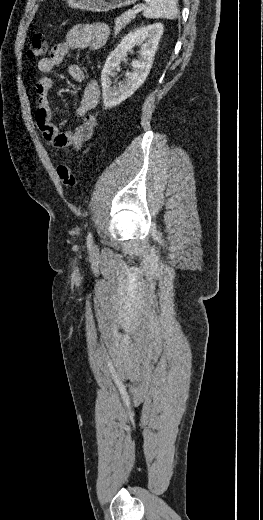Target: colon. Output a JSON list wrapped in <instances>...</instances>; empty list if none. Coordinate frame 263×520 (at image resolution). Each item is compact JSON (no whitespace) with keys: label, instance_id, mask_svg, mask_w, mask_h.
<instances>
[{"label":"colon","instance_id":"colon-1","mask_svg":"<svg viewBox=\"0 0 263 520\" xmlns=\"http://www.w3.org/2000/svg\"><path fill=\"white\" fill-rule=\"evenodd\" d=\"M47 51V39L45 34L37 33L35 34L29 45L28 49V57L29 58H40ZM57 175L60 181L65 185L72 187L76 184V177L70 166L66 164H59L57 166Z\"/></svg>","mask_w":263,"mask_h":520}]
</instances>
